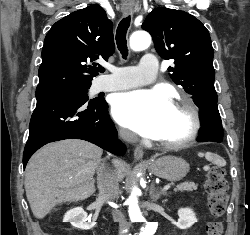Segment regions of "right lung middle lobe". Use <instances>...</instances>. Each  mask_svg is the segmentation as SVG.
<instances>
[{"label": "right lung middle lobe", "instance_id": "right-lung-middle-lobe-1", "mask_svg": "<svg viewBox=\"0 0 250 235\" xmlns=\"http://www.w3.org/2000/svg\"><path fill=\"white\" fill-rule=\"evenodd\" d=\"M89 88H90V87L81 88L80 91L83 92V93L88 94V89H89Z\"/></svg>", "mask_w": 250, "mask_h": 235}]
</instances>
